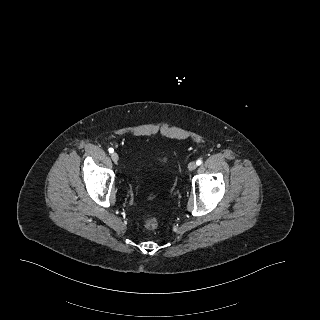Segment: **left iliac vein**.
<instances>
[{"label": "left iliac vein", "mask_w": 320, "mask_h": 320, "mask_svg": "<svg viewBox=\"0 0 320 320\" xmlns=\"http://www.w3.org/2000/svg\"><path fill=\"white\" fill-rule=\"evenodd\" d=\"M196 167H197V164H196V162H194V161H192V162H190V163L188 164V169H189L190 171L195 170Z\"/></svg>", "instance_id": "obj_1"}]
</instances>
